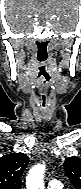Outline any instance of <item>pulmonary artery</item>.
Instances as JSON below:
<instances>
[{
  "label": "pulmonary artery",
  "instance_id": "1",
  "mask_svg": "<svg viewBox=\"0 0 81 189\" xmlns=\"http://www.w3.org/2000/svg\"><path fill=\"white\" fill-rule=\"evenodd\" d=\"M48 189H62V183L57 179L48 181Z\"/></svg>",
  "mask_w": 81,
  "mask_h": 189
}]
</instances>
